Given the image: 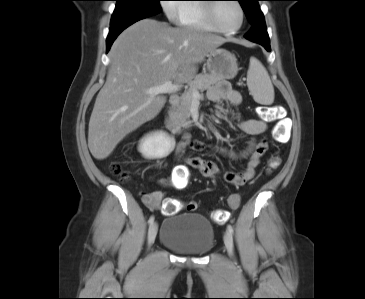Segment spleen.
Instances as JSON below:
<instances>
[{
    "mask_svg": "<svg viewBox=\"0 0 365 299\" xmlns=\"http://www.w3.org/2000/svg\"><path fill=\"white\" fill-rule=\"evenodd\" d=\"M247 86L253 99L263 105H270L274 101V87L262 63L255 57L250 58L247 72Z\"/></svg>",
    "mask_w": 365,
    "mask_h": 299,
    "instance_id": "spleen-1",
    "label": "spleen"
}]
</instances>
